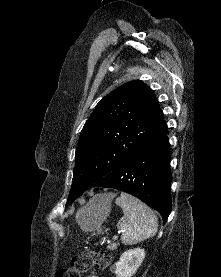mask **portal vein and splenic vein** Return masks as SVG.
Listing matches in <instances>:
<instances>
[{
    "label": "portal vein and splenic vein",
    "mask_w": 221,
    "mask_h": 277,
    "mask_svg": "<svg viewBox=\"0 0 221 277\" xmlns=\"http://www.w3.org/2000/svg\"><path fill=\"white\" fill-rule=\"evenodd\" d=\"M118 234H120V232H118ZM117 239H118V235H115V236L113 237V240L116 241Z\"/></svg>",
    "instance_id": "portal-vein-and-splenic-vein-1"
}]
</instances>
